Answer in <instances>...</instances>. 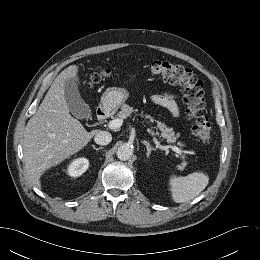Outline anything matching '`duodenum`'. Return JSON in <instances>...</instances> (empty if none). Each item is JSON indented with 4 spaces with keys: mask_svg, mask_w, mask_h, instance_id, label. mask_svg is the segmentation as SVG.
<instances>
[{
    "mask_svg": "<svg viewBox=\"0 0 260 260\" xmlns=\"http://www.w3.org/2000/svg\"><path fill=\"white\" fill-rule=\"evenodd\" d=\"M109 114V106L103 105L100 106L96 111V118L98 120H104Z\"/></svg>",
    "mask_w": 260,
    "mask_h": 260,
    "instance_id": "duodenum-1",
    "label": "duodenum"
}]
</instances>
